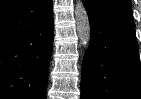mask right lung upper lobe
Returning <instances> with one entry per match:
<instances>
[{
	"instance_id": "right-lung-upper-lobe-1",
	"label": "right lung upper lobe",
	"mask_w": 141,
	"mask_h": 99,
	"mask_svg": "<svg viewBox=\"0 0 141 99\" xmlns=\"http://www.w3.org/2000/svg\"><path fill=\"white\" fill-rule=\"evenodd\" d=\"M17 0H0V9L9 6L10 4L16 2Z\"/></svg>"
}]
</instances>
